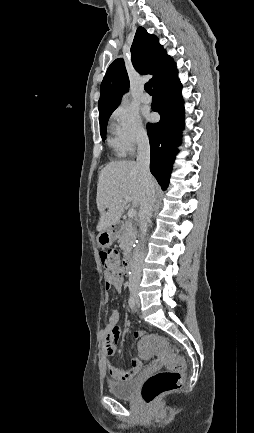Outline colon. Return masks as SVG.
<instances>
[{"mask_svg":"<svg viewBox=\"0 0 254 433\" xmlns=\"http://www.w3.org/2000/svg\"><path fill=\"white\" fill-rule=\"evenodd\" d=\"M100 260L105 269L106 276L117 278L123 276V266L116 250H108L100 253ZM165 341L161 337L150 336L143 340L142 348L163 346ZM184 362L179 358H172L168 369L150 376L143 384L141 396L146 403H153L162 395L176 390L182 386Z\"/></svg>","mask_w":254,"mask_h":433,"instance_id":"1","label":"colon"}]
</instances>
